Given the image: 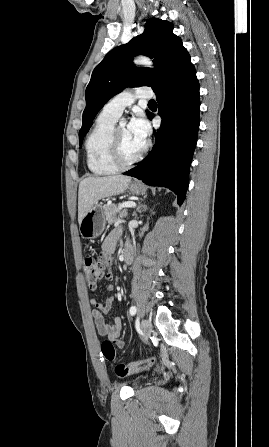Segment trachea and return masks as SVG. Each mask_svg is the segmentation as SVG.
<instances>
[{
  "mask_svg": "<svg viewBox=\"0 0 269 447\" xmlns=\"http://www.w3.org/2000/svg\"><path fill=\"white\" fill-rule=\"evenodd\" d=\"M148 105H157L155 100H150Z\"/></svg>",
  "mask_w": 269,
  "mask_h": 447,
  "instance_id": "trachea-1",
  "label": "trachea"
}]
</instances>
